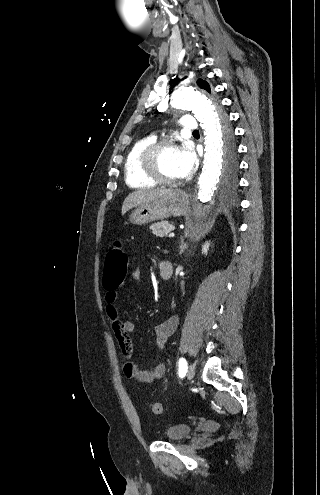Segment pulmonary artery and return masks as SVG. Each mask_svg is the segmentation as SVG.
Instances as JSON below:
<instances>
[{"instance_id": "1", "label": "pulmonary artery", "mask_w": 320, "mask_h": 495, "mask_svg": "<svg viewBox=\"0 0 320 495\" xmlns=\"http://www.w3.org/2000/svg\"><path fill=\"white\" fill-rule=\"evenodd\" d=\"M179 123L184 131H195L198 128L196 120L189 115L181 117Z\"/></svg>"}]
</instances>
